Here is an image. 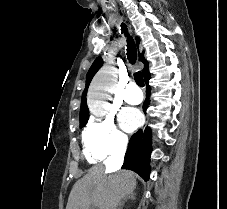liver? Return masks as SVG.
Segmentation results:
<instances>
[{
	"mask_svg": "<svg viewBox=\"0 0 227 209\" xmlns=\"http://www.w3.org/2000/svg\"><path fill=\"white\" fill-rule=\"evenodd\" d=\"M136 185V175L132 171L106 175L103 165H97L75 183L66 209H89V205L115 209L121 199L133 195Z\"/></svg>",
	"mask_w": 227,
	"mask_h": 209,
	"instance_id": "liver-1",
	"label": "liver"
}]
</instances>
